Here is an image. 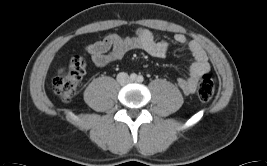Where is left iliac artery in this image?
I'll use <instances>...</instances> for the list:
<instances>
[{
    "label": "left iliac artery",
    "instance_id": "obj_1",
    "mask_svg": "<svg viewBox=\"0 0 267 166\" xmlns=\"http://www.w3.org/2000/svg\"><path fill=\"white\" fill-rule=\"evenodd\" d=\"M143 80H144L143 76H141V75L138 76L137 81H138L139 83L143 82Z\"/></svg>",
    "mask_w": 267,
    "mask_h": 166
}]
</instances>
